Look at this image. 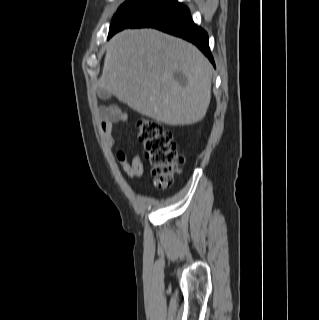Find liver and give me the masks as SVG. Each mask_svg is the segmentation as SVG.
Listing matches in <instances>:
<instances>
[{"label": "liver", "instance_id": "6515ba94", "mask_svg": "<svg viewBox=\"0 0 319 320\" xmlns=\"http://www.w3.org/2000/svg\"><path fill=\"white\" fill-rule=\"evenodd\" d=\"M211 79L210 62L191 43L155 29H126L108 43L98 86L139 114L177 126L204 118Z\"/></svg>", "mask_w": 319, "mask_h": 320}]
</instances>
